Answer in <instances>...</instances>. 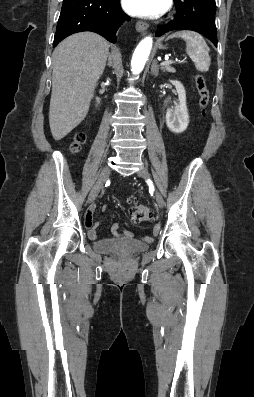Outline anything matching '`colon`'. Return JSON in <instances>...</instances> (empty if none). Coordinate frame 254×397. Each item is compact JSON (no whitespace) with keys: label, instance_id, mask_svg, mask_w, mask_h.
Here are the masks:
<instances>
[{"label":"colon","instance_id":"5ec220e1","mask_svg":"<svg viewBox=\"0 0 254 397\" xmlns=\"http://www.w3.org/2000/svg\"><path fill=\"white\" fill-rule=\"evenodd\" d=\"M195 84L199 94V106L202 113L205 112L206 107L209 103V90L206 85L204 77L200 74L195 76ZM86 135L83 132H76L70 142L69 148L73 153H77L81 150L85 143ZM131 215L135 222H144L153 220L154 214L149 206L141 204H133L131 207Z\"/></svg>","mask_w":254,"mask_h":397}]
</instances>
